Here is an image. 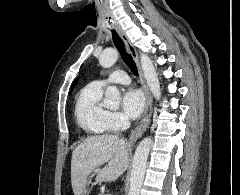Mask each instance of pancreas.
Instances as JSON below:
<instances>
[{
    "instance_id": "obj_1",
    "label": "pancreas",
    "mask_w": 240,
    "mask_h": 195,
    "mask_svg": "<svg viewBox=\"0 0 240 195\" xmlns=\"http://www.w3.org/2000/svg\"><path fill=\"white\" fill-rule=\"evenodd\" d=\"M102 195H108V193H102Z\"/></svg>"
}]
</instances>
